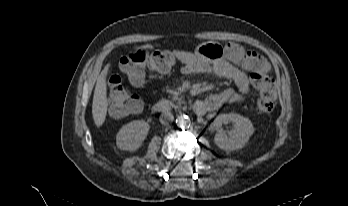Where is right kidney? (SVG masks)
Wrapping results in <instances>:
<instances>
[{
	"label": "right kidney",
	"instance_id": "obj_1",
	"mask_svg": "<svg viewBox=\"0 0 348 206\" xmlns=\"http://www.w3.org/2000/svg\"><path fill=\"white\" fill-rule=\"evenodd\" d=\"M150 126L143 120H134L121 127L116 135L117 147L122 150H137L147 137Z\"/></svg>",
	"mask_w": 348,
	"mask_h": 206
}]
</instances>
